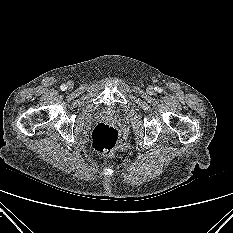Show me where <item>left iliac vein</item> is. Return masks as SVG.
<instances>
[{"label": "left iliac vein", "mask_w": 233, "mask_h": 233, "mask_svg": "<svg viewBox=\"0 0 233 233\" xmlns=\"http://www.w3.org/2000/svg\"><path fill=\"white\" fill-rule=\"evenodd\" d=\"M149 92H150V93H153V92H154L153 87H150V88H149Z\"/></svg>", "instance_id": "4c4485c4"}]
</instances>
